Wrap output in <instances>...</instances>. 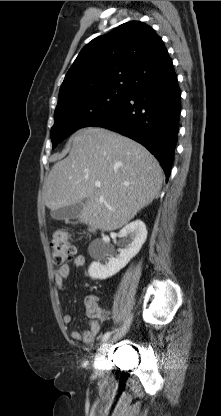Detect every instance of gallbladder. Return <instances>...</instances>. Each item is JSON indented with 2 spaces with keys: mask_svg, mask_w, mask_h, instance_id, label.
Returning a JSON list of instances; mask_svg holds the SVG:
<instances>
[{
  "mask_svg": "<svg viewBox=\"0 0 221 416\" xmlns=\"http://www.w3.org/2000/svg\"><path fill=\"white\" fill-rule=\"evenodd\" d=\"M83 203H76L74 205L61 207L56 210H52L50 215L55 220H70L79 217L82 210Z\"/></svg>",
  "mask_w": 221,
  "mask_h": 416,
  "instance_id": "gallbladder-1",
  "label": "gallbladder"
}]
</instances>
